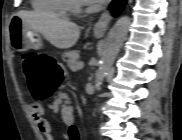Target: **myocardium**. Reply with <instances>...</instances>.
Masks as SVG:
<instances>
[{"label":"myocardium","mask_w":182,"mask_h":140,"mask_svg":"<svg viewBox=\"0 0 182 140\" xmlns=\"http://www.w3.org/2000/svg\"><path fill=\"white\" fill-rule=\"evenodd\" d=\"M65 8L69 12L78 13L81 11V4L77 0H68L65 3Z\"/></svg>","instance_id":"f54148a6"}]
</instances>
